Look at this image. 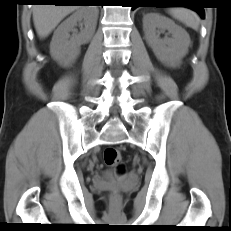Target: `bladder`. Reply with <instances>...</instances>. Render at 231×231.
I'll list each match as a JSON object with an SVG mask.
<instances>
[{"instance_id": "obj_1", "label": "bladder", "mask_w": 231, "mask_h": 231, "mask_svg": "<svg viewBox=\"0 0 231 231\" xmlns=\"http://www.w3.org/2000/svg\"><path fill=\"white\" fill-rule=\"evenodd\" d=\"M101 177L104 179V180H107V181H112L116 178V175L111 172V171H104L102 174H101Z\"/></svg>"}]
</instances>
